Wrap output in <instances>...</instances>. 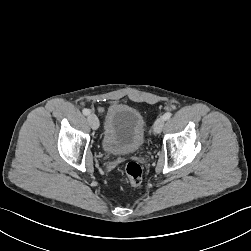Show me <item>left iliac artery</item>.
I'll return each instance as SVG.
<instances>
[{"mask_svg":"<svg viewBox=\"0 0 251 251\" xmlns=\"http://www.w3.org/2000/svg\"><path fill=\"white\" fill-rule=\"evenodd\" d=\"M171 116H172V113L167 112V113H165V114L163 115V119H164V120H168V119L171 118Z\"/></svg>","mask_w":251,"mask_h":251,"instance_id":"44dca946","label":"left iliac artery"}]
</instances>
